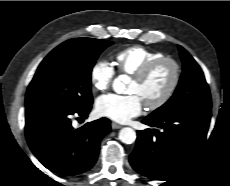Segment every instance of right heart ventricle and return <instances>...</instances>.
<instances>
[{
	"instance_id": "right-heart-ventricle-1",
	"label": "right heart ventricle",
	"mask_w": 230,
	"mask_h": 186,
	"mask_svg": "<svg viewBox=\"0 0 230 186\" xmlns=\"http://www.w3.org/2000/svg\"><path fill=\"white\" fill-rule=\"evenodd\" d=\"M163 57V54L143 46H130L120 50L114 57V64L121 73L134 75L147 63Z\"/></svg>"
}]
</instances>
